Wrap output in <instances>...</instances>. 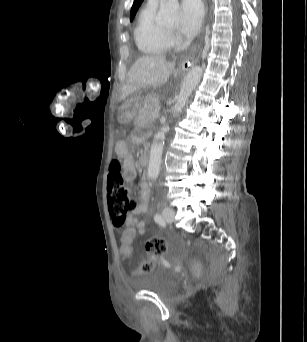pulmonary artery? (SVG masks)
Wrapping results in <instances>:
<instances>
[{"label": "pulmonary artery", "mask_w": 307, "mask_h": 342, "mask_svg": "<svg viewBox=\"0 0 307 342\" xmlns=\"http://www.w3.org/2000/svg\"><path fill=\"white\" fill-rule=\"evenodd\" d=\"M149 10H156L157 7L164 1H147Z\"/></svg>", "instance_id": "pulmonary-artery-1"}]
</instances>
